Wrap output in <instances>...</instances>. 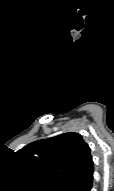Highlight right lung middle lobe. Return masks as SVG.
<instances>
[{"instance_id":"1","label":"right lung middle lobe","mask_w":114,"mask_h":191,"mask_svg":"<svg viewBox=\"0 0 114 191\" xmlns=\"http://www.w3.org/2000/svg\"><path fill=\"white\" fill-rule=\"evenodd\" d=\"M44 190H47V191H57L58 188H56V187H51V188H44Z\"/></svg>"}]
</instances>
